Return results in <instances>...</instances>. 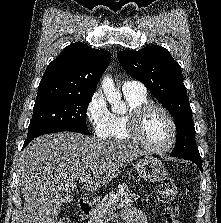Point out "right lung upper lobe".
<instances>
[{"label":"right lung upper lobe","instance_id":"obj_1","mask_svg":"<svg viewBox=\"0 0 221 223\" xmlns=\"http://www.w3.org/2000/svg\"><path fill=\"white\" fill-rule=\"evenodd\" d=\"M110 63V53L77 42L64 48L47 67L36 100L93 95L100 76Z\"/></svg>","mask_w":221,"mask_h":223}]
</instances>
